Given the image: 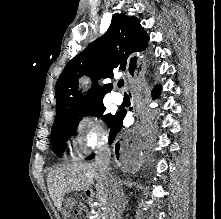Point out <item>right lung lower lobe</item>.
Returning <instances> with one entry per match:
<instances>
[{
	"mask_svg": "<svg viewBox=\"0 0 221 219\" xmlns=\"http://www.w3.org/2000/svg\"><path fill=\"white\" fill-rule=\"evenodd\" d=\"M161 89V86H156L152 91V97L155 99L159 95V90ZM126 115V111H119L115 114L113 123L110 126V138H109V144L113 143L115 146V153L121 158L125 159L130 155V153H133L134 147L130 143L127 144L126 142H122V139L116 138L117 133L122 129L123 127V119ZM137 141V140H136ZM95 156L94 154L88 156L86 160H91Z\"/></svg>",
	"mask_w": 221,
	"mask_h": 219,
	"instance_id": "98d812e1",
	"label": "right lung lower lobe"
}]
</instances>
